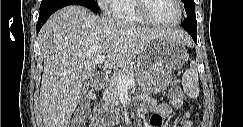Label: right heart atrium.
Masks as SVG:
<instances>
[{
	"label": "right heart atrium",
	"instance_id": "d8ad5b80",
	"mask_svg": "<svg viewBox=\"0 0 243 127\" xmlns=\"http://www.w3.org/2000/svg\"><path fill=\"white\" fill-rule=\"evenodd\" d=\"M109 1L108 0H100L99 3L101 6H103L104 8H106V5Z\"/></svg>",
	"mask_w": 243,
	"mask_h": 127
}]
</instances>
